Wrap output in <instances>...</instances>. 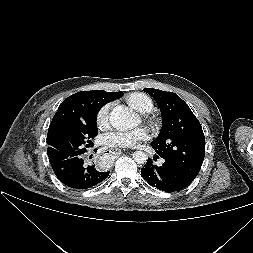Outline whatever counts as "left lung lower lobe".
Masks as SVG:
<instances>
[{
    "label": "left lung lower lobe",
    "mask_w": 253,
    "mask_h": 253,
    "mask_svg": "<svg viewBox=\"0 0 253 253\" xmlns=\"http://www.w3.org/2000/svg\"><path fill=\"white\" fill-rule=\"evenodd\" d=\"M159 158L158 155L154 156ZM153 157V158H154ZM164 159L161 166L154 165L148 159L141 169L142 177L153 187L165 191H180L189 186L196 176L185 170L182 166L168 159Z\"/></svg>",
    "instance_id": "left-lung-lower-lobe-1"
}]
</instances>
